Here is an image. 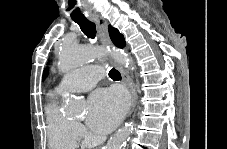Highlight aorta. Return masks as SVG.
Here are the masks:
<instances>
[{
  "label": "aorta",
  "mask_w": 227,
  "mask_h": 149,
  "mask_svg": "<svg viewBox=\"0 0 227 149\" xmlns=\"http://www.w3.org/2000/svg\"><path fill=\"white\" fill-rule=\"evenodd\" d=\"M101 55L102 52L100 50L78 46L74 43H64L60 50L57 66L59 71L66 73L86 62L99 58ZM112 55L119 62H128V58L119 50H114ZM76 104V99L72 97L66 99L67 106L74 108ZM132 129V123H128L123 128L118 130V132L111 137L107 143L106 149H123L127 139L132 133Z\"/></svg>",
  "instance_id": "1"
}]
</instances>
